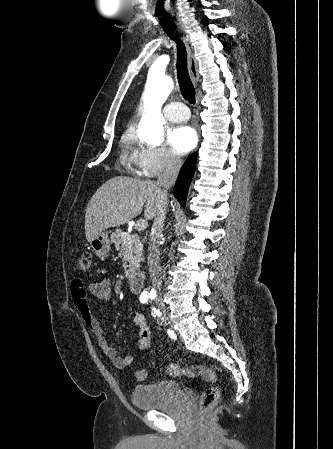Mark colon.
Wrapping results in <instances>:
<instances>
[{
    "mask_svg": "<svg viewBox=\"0 0 333 449\" xmlns=\"http://www.w3.org/2000/svg\"><path fill=\"white\" fill-rule=\"evenodd\" d=\"M92 256L89 252H84L80 255L77 262V267L80 271H88L91 267ZM166 372L168 375L173 377H187L195 378L201 377L206 382L210 384L206 388L200 397V408L207 409L215 405L219 398V387L217 385V376L213 369L204 365H190V366H180L178 364H168L166 366ZM147 377V371L145 369H140L136 372L137 380H145Z\"/></svg>",
    "mask_w": 333,
    "mask_h": 449,
    "instance_id": "colon-1",
    "label": "colon"
}]
</instances>
